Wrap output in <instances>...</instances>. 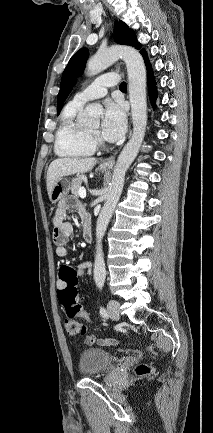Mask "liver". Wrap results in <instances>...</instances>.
<instances>
[{
	"mask_svg": "<svg viewBox=\"0 0 213 433\" xmlns=\"http://www.w3.org/2000/svg\"><path fill=\"white\" fill-rule=\"evenodd\" d=\"M97 160L93 157L88 158H58L55 159L48 168L46 186L48 194L52 191L56 182L64 177L73 174L85 173L90 171Z\"/></svg>",
	"mask_w": 213,
	"mask_h": 433,
	"instance_id": "obj_1",
	"label": "liver"
}]
</instances>
